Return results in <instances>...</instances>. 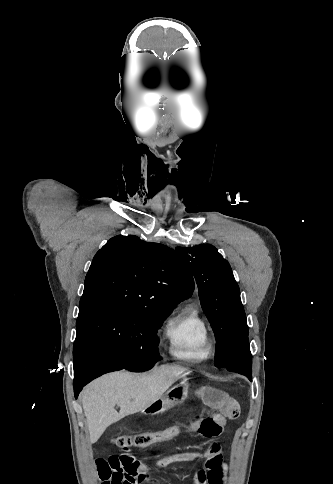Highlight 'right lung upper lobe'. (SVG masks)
Segmentation results:
<instances>
[{"label": "right lung upper lobe", "instance_id": "1", "mask_svg": "<svg viewBox=\"0 0 333 484\" xmlns=\"http://www.w3.org/2000/svg\"><path fill=\"white\" fill-rule=\"evenodd\" d=\"M193 290L191 272L175 250L119 235L94 256L79 307L109 304L170 312Z\"/></svg>", "mask_w": 333, "mask_h": 484}]
</instances>
